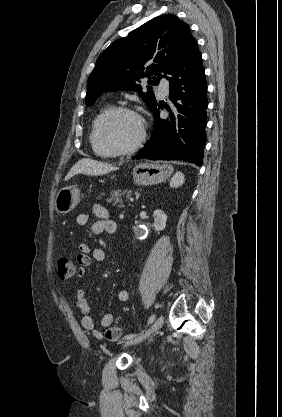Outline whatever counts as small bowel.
Here are the masks:
<instances>
[{
	"label": "small bowel",
	"instance_id": "c3829d8e",
	"mask_svg": "<svg viewBox=\"0 0 282 417\" xmlns=\"http://www.w3.org/2000/svg\"><path fill=\"white\" fill-rule=\"evenodd\" d=\"M92 213L98 218L97 221L91 223L90 215L88 213H79L76 216V223L81 227L90 226L91 232L94 235L102 233L115 234L118 230L117 223L110 219L107 208L101 203H94L92 205ZM106 258L104 249L96 247L91 249L87 243L79 245V253L77 255L79 277H82L92 262H103ZM77 306L82 313L81 324L84 329L90 331L95 339H102L106 337L105 325L106 323H115V316L111 313L104 314L101 318L100 327H98L93 318L89 315L90 303L86 292L83 289H77L76 293ZM117 299L121 303H126L130 299V292L126 288L119 289L117 292Z\"/></svg>",
	"mask_w": 282,
	"mask_h": 417
}]
</instances>
